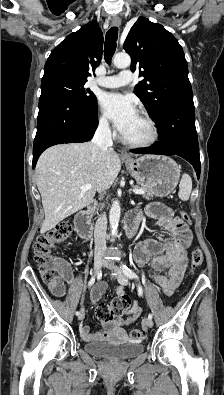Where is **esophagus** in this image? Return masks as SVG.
I'll return each instance as SVG.
<instances>
[{"label":"esophagus","instance_id":"34e87169","mask_svg":"<svg viewBox=\"0 0 224 395\" xmlns=\"http://www.w3.org/2000/svg\"><path fill=\"white\" fill-rule=\"evenodd\" d=\"M120 25H121L120 19L115 18L112 20V26L119 27ZM120 156L122 159H130V156L128 155V153L123 149L120 151Z\"/></svg>","mask_w":224,"mask_h":395}]
</instances>
